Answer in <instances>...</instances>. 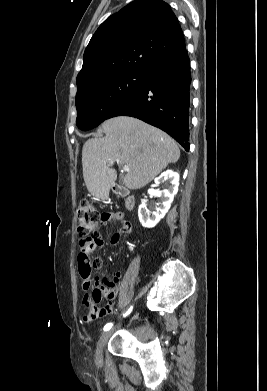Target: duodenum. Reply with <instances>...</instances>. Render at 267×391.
<instances>
[{"label":"duodenum","instance_id":"410a0bca","mask_svg":"<svg viewBox=\"0 0 267 391\" xmlns=\"http://www.w3.org/2000/svg\"><path fill=\"white\" fill-rule=\"evenodd\" d=\"M113 192L117 195L126 197L125 206L127 209H132L134 206V198L129 195V192L126 188L119 184L113 185Z\"/></svg>","mask_w":267,"mask_h":391}]
</instances>
